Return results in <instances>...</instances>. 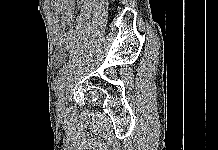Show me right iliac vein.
<instances>
[{
    "instance_id": "63e3f726",
    "label": "right iliac vein",
    "mask_w": 218,
    "mask_h": 150,
    "mask_svg": "<svg viewBox=\"0 0 218 150\" xmlns=\"http://www.w3.org/2000/svg\"><path fill=\"white\" fill-rule=\"evenodd\" d=\"M66 91H67V88H66V84H65L63 89L59 92V97H58V101H57V110L61 115L64 114Z\"/></svg>"
}]
</instances>
